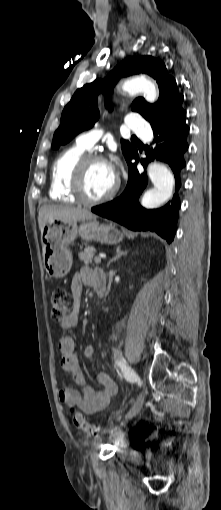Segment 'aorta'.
Returning <instances> with one entry per match:
<instances>
[{
    "instance_id": "aorta-1",
    "label": "aorta",
    "mask_w": 221,
    "mask_h": 510,
    "mask_svg": "<svg viewBox=\"0 0 221 510\" xmlns=\"http://www.w3.org/2000/svg\"><path fill=\"white\" fill-rule=\"evenodd\" d=\"M122 89L129 93L142 92L145 99L153 103L158 97L154 83L144 76H137L126 80ZM148 176L153 183V188L146 191L141 204L147 209L161 206L172 195L174 177L169 169L161 163L152 162L148 166Z\"/></svg>"
}]
</instances>
